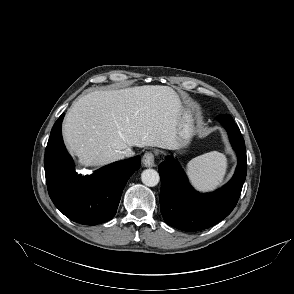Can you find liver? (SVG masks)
Listing matches in <instances>:
<instances>
[{"mask_svg": "<svg viewBox=\"0 0 294 294\" xmlns=\"http://www.w3.org/2000/svg\"><path fill=\"white\" fill-rule=\"evenodd\" d=\"M181 111L168 86L94 91L69 109L63 135L81 165L102 166L123 159L121 152L133 146L175 149Z\"/></svg>", "mask_w": 294, "mask_h": 294, "instance_id": "6515ba94", "label": "liver"}]
</instances>
